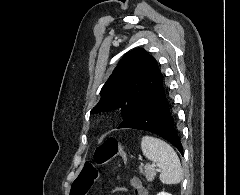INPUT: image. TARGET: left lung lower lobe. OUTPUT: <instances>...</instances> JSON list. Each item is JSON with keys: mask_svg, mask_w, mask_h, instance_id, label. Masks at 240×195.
I'll list each match as a JSON object with an SVG mask.
<instances>
[{"mask_svg": "<svg viewBox=\"0 0 240 195\" xmlns=\"http://www.w3.org/2000/svg\"><path fill=\"white\" fill-rule=\"evenodd\" d=\"M121 128L145 130L158 134L183 154L182 144L175 128L171 105L164 86L141 108L132 120Z\"/></svg>", "mask_w": 240, "mask_h": 195, "instance_id": "obj_1", "label": "left lung lower lobe"}]
</instances>
